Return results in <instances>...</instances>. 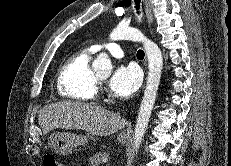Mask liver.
<instances>
[{"instance_id": "liver-1", "label": "liver", "mask_w": 231, "mask_h": 166, "mask_svg": "<svg viewBox=\"0 0 231 166\" xmlns=\"http://www.w3.org/2000/svg\"><path fill=\"white\" fill-rule=\"evenodd\" d=\"M38 122L44 135L62 128L81 129L96 136H108L126 125V120L116 113L77 101L44 106L38 112Z\"/></svg>"}]
</instances>
